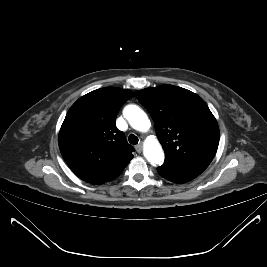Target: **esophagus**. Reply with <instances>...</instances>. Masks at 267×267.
I'll use <instances>...</instances> for the list:
<instances>
[{"label":"esophagus","instance_id":"obj_1","mask_svg":"<svg viewBox=\"0 0 267 267\" xmlns=\"http://www.w3.org/2000/svg\"><path fill=\"white\" fill-rule=\"evenodd\" d=\"M135 148L136 151L140 153L142 151V144H138Z\"/></svg>","mask_w":267,"mask_h":267}]
</instances>
